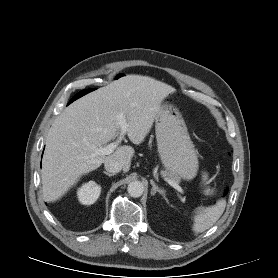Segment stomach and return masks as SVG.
<instances>
[{
    "instance_id": "obj_1",
    "label": "stomach",
    "mask_w": 278,
    "mask_h": 278,
    "mask_svg": "<svg viewBox=\"0 0 278 278\" xmlns=\"http://www.w3.org/2000/svg\"><path fill=\"white\" fill-rule=\"evenodd\" d=\"M155 133L161 163L167 173L187 181L198 172V157L180 112L171 105L160 106Z\"/></svg>"
}]
</instances>
